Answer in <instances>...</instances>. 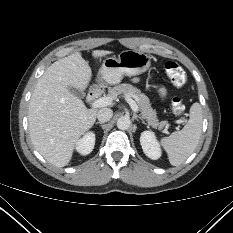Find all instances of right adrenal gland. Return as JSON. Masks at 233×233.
I'll list each match as a JSON object with an SVG mask.
<instances>
[{
	"mask_svg": "<svg viewBox=\"0 0 233 233\" xmlns=\"http://www.w3.org/2000/svg\"><path fill=\"white\" fill-rule=\"evenodd\" d=\"M95 124H100V125H103V122H96Z\"/></svg>",
	"mask_w": 233,
	"mask_h": 233,
	"instance_id": "obj_1",
	"label": "right adrenal gland"
}]
</instances>
